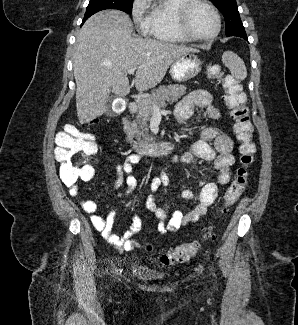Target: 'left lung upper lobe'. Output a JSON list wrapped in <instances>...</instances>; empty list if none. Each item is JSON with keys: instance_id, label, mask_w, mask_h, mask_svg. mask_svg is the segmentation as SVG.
Wrapping results in <instances>:
<instances>
[{"instance_id": "left-lung-upper-lobe-1", "label": "left lung upper lobe", "mask_w": 298, "mask_h": 325, "mask_svg": "<svg viewBox=\"0 0 298 325\" xmlns=\"http://www.w3.org/2000/svg\"><path fill=\"white\" fill-rule=\"evenodd\" d=\"M223 13L226 24V35L235 36L245 32L241 22L236 0H211Z\"/></svg>"}]
</instances>
